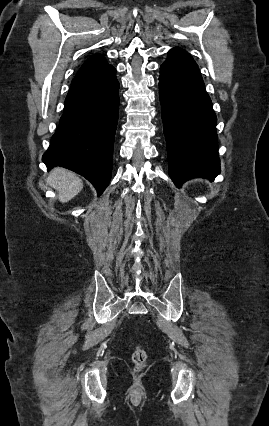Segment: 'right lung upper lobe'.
Wrapping results in <instances>:
<instances>
[{"instance_id": "1", "label": "right lung upper lobe", "mask_w": 269, "mask_h": 426, "mask_svg": "<svg viewBox=\"0 0 269 426\" xmlns=\"http://www.w3.org/2000/svg\"><path fill=\"white\" fill-rule=\"evenodd\" d=\"M108 66L106 59L100 54H94L80 67L77 75L92 73Z\"/></svg>"}]
</instances>
